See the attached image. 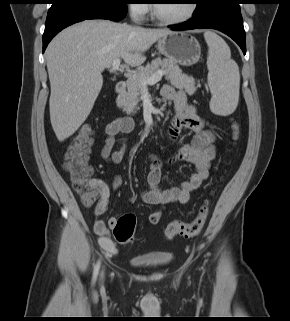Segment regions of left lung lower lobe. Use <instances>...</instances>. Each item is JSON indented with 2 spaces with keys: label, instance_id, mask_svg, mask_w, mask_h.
Wrapping results in <instances>:
<instances>
[{
  "label": "left lung lower lobe",
  "instance_id": "left-lung-lower-lobe-1",
  "mask_svg": "<svg viewBox=\"0 0 290 321\" xmlns=\"http://www.w3.org/2000/svg\"><path fill=\"white\" fill-rule=\"evenodd\" d=\"M241 0H215L205 9L194 13L185 23L170 25L174 31L211 28L231 37L246 54L245 31L241 16Z\"/></svg>",
  "mask_w": 290,
  "mask_h": 321
}]
</instances>
